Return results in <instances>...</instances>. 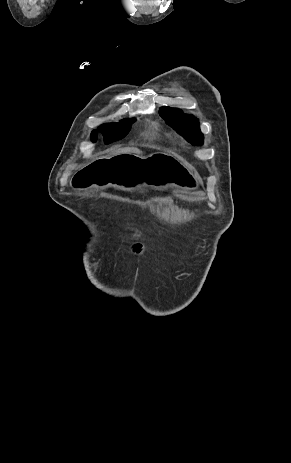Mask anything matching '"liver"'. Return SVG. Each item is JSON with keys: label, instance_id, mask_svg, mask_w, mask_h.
<instances>
[{"label": "liver", "instance_id": "liver-1", "mask_svg": "<svg viewBox=\"0 0 291 463\" xmlns=\"http://www.w3.org/2000/svg\"><path fill=\"white\" fill-rule=\"evenodd\" d=\"M139 153H141V151L139 149H137V148L125 147V148H120V149H117V150L113 151L106 158L114 157V156L121 155V154H139Z\"/></svg>", "mask_w": 291, "mask_h": 463}]
</instances>
